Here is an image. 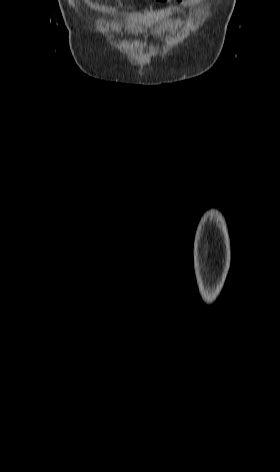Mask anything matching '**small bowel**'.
<instances>
[{"mask_svg": "<svg viewBox=\"0 0 280 472\" xmlns=\"http://www.w3.org/2000/svg\"><path fill=\"white\" fill-rule=\"evenodd\" d=\"M178 2H182L183 0H177Z\"/></svg>", "mask_w": 280, "mask_h": 472, "instance_id": "1", "label": "small bowel"}]
</instances>
